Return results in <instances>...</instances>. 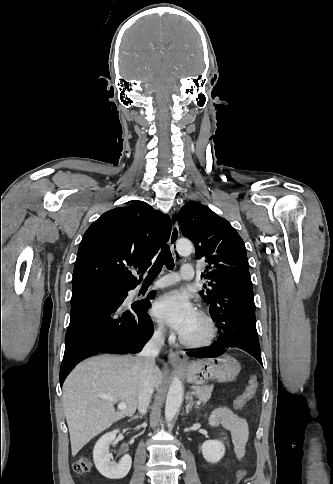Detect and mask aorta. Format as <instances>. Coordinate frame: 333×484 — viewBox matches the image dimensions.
I'll return each instance as SVG.
<instances>
[{"label": "aorta", "mask_w": 333, "mask_h": 484, "mask_svg": "<svg viewBox=\"0 0 333 484\" xmlns=\"http://www.w3.org/2000/svg\"><path fill=\"white\" fill-rule=\"evenodd\" d=\"M193 249L192 243L188 240H179L176 244V250L180 254H189ZM183 400V386L179 378L172 381L166 399L165 418L169 423L176 415ZM170 427L171 424L169 423Z\"/></svg>", "instance_id": "1"}]
</instances>
